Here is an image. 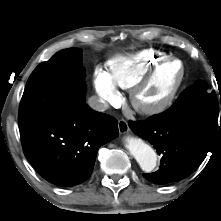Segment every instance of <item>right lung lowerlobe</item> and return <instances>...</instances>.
<instances>
[{"label": "right lung lower lobe", "mask_w": 221, "mask_h": 221, "mask_svg": "<svg viewBox=\"0 0 221 221\" xmlns=\"http://www.w3.org/2000/svg\"><path fill=\"white\" fill-rule=\"evenodd\" d=\"M86 94L49 120L21 131L27 160L48 182L71 187L86 181L98 149L118 136V121L92 110Z\"/></svg>", "instance_id": "obj_1"}]
</instances>
